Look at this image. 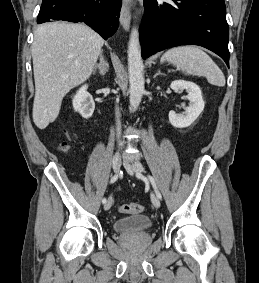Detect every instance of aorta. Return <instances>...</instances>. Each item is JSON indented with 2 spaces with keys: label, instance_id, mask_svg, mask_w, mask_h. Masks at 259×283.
Masks as SVG:
<instances>
[{
  "label": "aorta",
  "instance_id": "aorta-1",
  "mask_svg": "<svg viewBox=\"0 0 259 283\" xmlns=\"http://www.w3.org/2000/svg\"><path fill=\"white\" fill-rule=\"evenodd\" d=\"M128 71L130 84V105L138 107L141 102L144 88L143 61L139 43V33L136 28L131 31L128 44Z\"/></svg>",
  "mask_w": 259,
  "mask_h": 283
}]
</instances>
